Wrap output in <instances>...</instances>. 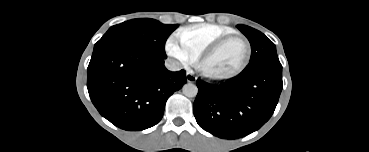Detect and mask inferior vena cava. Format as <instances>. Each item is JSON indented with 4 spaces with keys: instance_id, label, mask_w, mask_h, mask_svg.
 I'll return each mask as SVG.
<instances>
[{
    "instance_id": "602c4592",
    "label": "inferior vena cava",
    "mask_w": 369,
    "mask_h": 152,
    "mask_svg": "<svg viewBox=\"0 0 369 152\" xmlns=\"http://www.w3.org/2000/svg\"><path fill=\"white\" fill-rule=\"evenodd\" d=\"M165 66L170 71H179L182 69V64L177 60L171 58L166 59Z\"/></svg>"
}]
</instances>
